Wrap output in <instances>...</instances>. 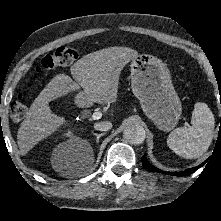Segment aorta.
Returning <instances> with one entry per match:
<instances>
[{
	"label": "aorta",
	"mask_w": 221,
	"mask_h": 221,
	"mask_svg": "<svg viewBox=\"0 0 221 221\" xmlns=\"http://www.w3.org/2000/svg\"><path fill=\"white\" fill-rule=\"evenodd\" d=\"M123 136L130 144H141L146 138L145 129L138 124H129L123 131Z\"/></svg>",
	"instance_id": "762f6f07"
}]
</instances>
